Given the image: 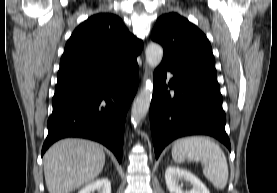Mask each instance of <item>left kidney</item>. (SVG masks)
I'll use <instances>...</instances> for the list:
<instances>
[{"mask_svg":"<svg viewBox=\"0 0 277 193\" xmlns=\"http://www.w3.org/2000/svg\"><path fill=\"white\" fill-rule=\"evenodd\" d=\"M184 179L192 185L190 190L184 191L178 184ZM166 186L170 193H210L207 187L191 172L177 166H168L165 171Z\"/></svg>","mask_w":277,"mask_h":193,"instance_id":"1","label":"left kidney"}]
</instances>
